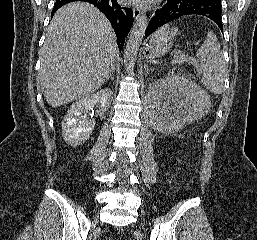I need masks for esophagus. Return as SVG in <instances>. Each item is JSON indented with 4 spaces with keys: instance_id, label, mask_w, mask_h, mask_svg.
Segmentation results:
<instances>
[{
    "instance_id": "esophagus-1",
    "label": "esophagus",
    "mask_w": 257,
    "mask_h": 240,
    "mask_svg": "<svg viewBox=\"0 0 257 240\" xmlns=\"http://www.w3.org/2000/svg\"><path fill=\"white\" fill-rule=\"evenodd\" d=\"M142 14H143V11L140 8L138 7L133 8V15L135 19H138Z\"/></svg>"
}]
</instances>
